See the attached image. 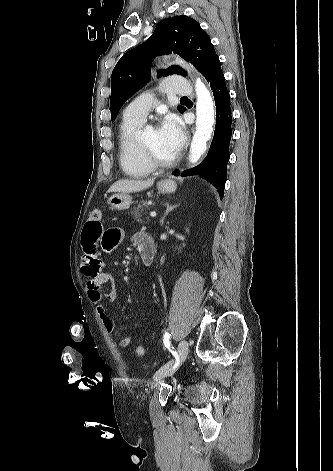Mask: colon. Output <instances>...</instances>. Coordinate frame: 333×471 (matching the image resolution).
Returning <instances> with one entry per match:
<instances>
[{
    "label": "colon",
    "instance_id": "5ec220e1",
    "mask_svg": "<svg viewBox=\"0 0 333 471\" xmlns=\"http://www.w3.org/2000/svg\"><path fill=\"white\" fill-rule=\"evenodd\" d=\"M91 220H94V221H97L101 218V211L99 209H94L91 213H90V217H89ZM136 351V354L138 356H143L144 354V348L143 346L141 345H138L135 349Z\"/></svg>",
    "mask_w": 333,
    "mask_h": 471
}]
</instances>
